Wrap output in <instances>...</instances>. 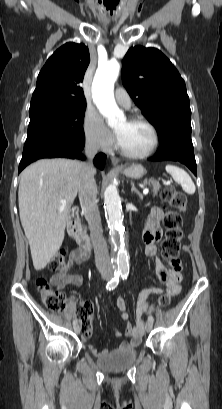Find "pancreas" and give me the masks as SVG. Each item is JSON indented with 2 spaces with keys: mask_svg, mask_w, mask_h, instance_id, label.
I'll list each match as a JSON object with an SVG mask.
<instances>
[{
  "mask_svg": "<svg viewBox=\"0 0 222 409\" xmlns=\"http://www.w3.org/2000/svg\"><path fill=\"white\" fill-rule=\"evenodd\" d=\"M143 184L144 185H152L153 186V189H152L153 195L157 196V194H158V192L160 190V185H159L158 182H156L154 179H150V180H145Z\"/></svg>",
  "mask_w": 222,
  "mask_h": 409,
  "instance_id": "pancreas-1",
  "label": "pancreas"
}]
</instances>
